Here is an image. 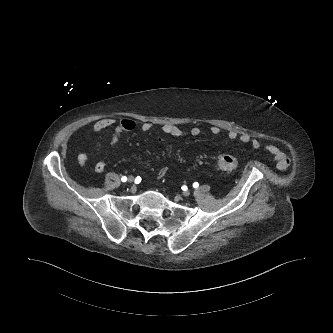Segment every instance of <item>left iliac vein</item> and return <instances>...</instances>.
I'll return each instance as SVG.
<instances>
[{
    "instance_id": "obj_1",
    "label": "left iliac vein",
    "mask_w": 333,
    "mask_h": 333,
    "mask_svg": "<svg viewBox=\"0 0 333 333\" xmlns=\"http://www.w3.org/2000/svg\"><path fill=\"white\" fill-rule=\"evenodd\" d=\"M182 195L185 196V197H187V196L190 195V191L185 190V191H183Z\"/></svg>"
}]
</instances>
